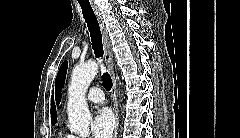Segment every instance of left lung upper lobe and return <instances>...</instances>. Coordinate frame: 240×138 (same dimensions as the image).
Returning a JSON list of instances; mask_svg holds the SVG:
<instances>
[{
  "label": "left lung upper lobe",
  "mask_w": 240,
  "mask_h": 138,
  "mask_svg": "<svg viewBox=\"0 0 240 138\" xmlns=\"http://www.w3.org/2000/svg\"><path fill=\"white\" fill-rule=\"evenodd\" d=\"M67 67H68V62L64 61L56 77L55 97H56L57 104H59L61 100V90H62L63 83L65 82Z\"/></svg>",
  "instance_id": "5c2ea615"
}]
</instances>
